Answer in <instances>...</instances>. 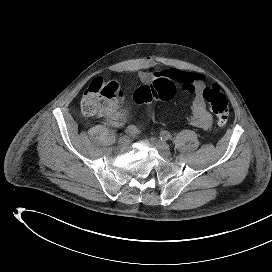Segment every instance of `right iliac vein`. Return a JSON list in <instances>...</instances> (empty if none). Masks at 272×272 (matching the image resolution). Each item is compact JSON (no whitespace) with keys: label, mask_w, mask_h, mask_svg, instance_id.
I'll list each match as a JSON object with an SVG mask.
<instances>
[{"label":"right iliac vein","mask_w":272,"mask_h":272,"mask_svg":"<svg viewBox=\"0 0 272 272\" xmlns=\"http://www.w3.org/2000/svg\"><path fill=\"white\" fill-rule=\"evenodd\" d=\"M129 145V138L126 136H123L119 139V146L121 148H125Z\"/></svg>","instance_id":"right-iliac-vein-1"}]
</instances>
